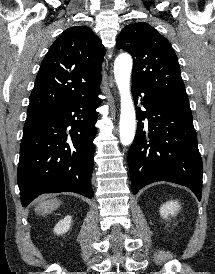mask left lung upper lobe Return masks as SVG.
<instances>
[{"mask_svg":"<svg viewBox=\"0 0 215 274\" xmlns=\"http://www.w3.org/2000/svg\"><path fill=\"white\" fill-rule=\"evenodd\" d=\"M116 45L133 57L132 82L175 103L189 105L177 56L170 42L156 29L143 22L127 25Z\"/></svg>","mask_w":215,"mask_h":274,"instance_id":"left-lung-upper-lobe-1","label":"left lung upper lobe"}]
</instances>
